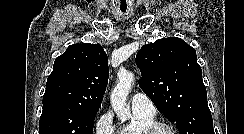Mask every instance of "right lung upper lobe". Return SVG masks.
<instances>
[{"label": "right lung upper lobe", "instance_id": "1", "mask_svg": "<svg viewBox=\"0 0 244 134\" xmlns=\"http://www.w3.org/2000/svg\"><path fill=\"white\" fill-rule=\"evenodd\" d=\"M109 76L108 59L100 44L70 45L55 59L43 104L61 102L98 111Z\"/></svg>", "mask_w": 244, "mask_h": 134}]
</instances>
